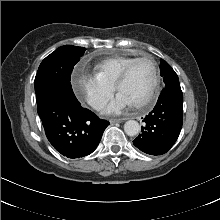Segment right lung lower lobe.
Instances as JSON below:
<instances>
[{
	"label": "right lung lower lobe",
	"instance_id": "right-lung-lower-lobe-1",
	"mask_svg": "<svg viewBox=\"0 0 220 220\" xmlns=\"http://www.w3.org/2000/svg\"><path fill=\"white\" fill-rule=\"evenodd\" d=\"M37 111L49 142L68 158L91 154L109 125L64 90L48 94L37 103Z\"/></svg>",
	"mask_w": 220,
	"mask_h": 220
}]
</instances>
